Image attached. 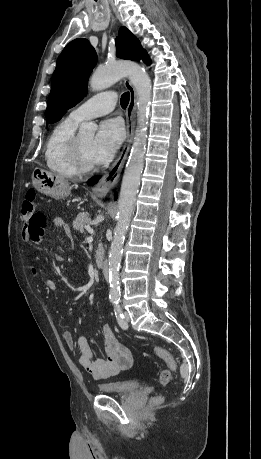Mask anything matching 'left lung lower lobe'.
I'll return each mask as SVG.
<instances>
[{"mask_svg": "<svg viewBox=\"0 0 261 459\" xmlns=\"http://www.w3.org/2000/svg\"><path fill=\"white\" fill-rule=\"evenodd\" d=\"M99 178H100V176H97V177H94V178L90 179L89 182H88V185L96 184L98 182Z\"/></svg>", "mask_w": 261, "mask_h": 459, "instance_id": "0a47b994", "label": "left lung lower lobe"}]
</instances>
